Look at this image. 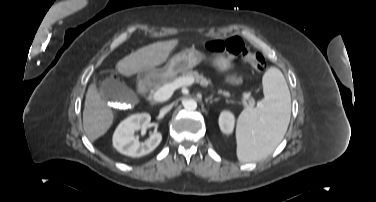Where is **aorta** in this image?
Listing matches in <instances>:
<instances>
[{
    "mask_svg": "<svg viewBox=\"0 0 376 202\" xmlns=\"http://www.w3.org/2000/svg\"><path fill=\"white\" fill-rule=\"evenodd\" d=\"M183 106L186 110L193 111L197 108V102L194 99H188L184 101Z\"/></svg>",
    "mask_w": 376,
    "mask_h": 202,
    "instance_id": "762f6f07",
    "label": "aorta"
}]
</instances>
